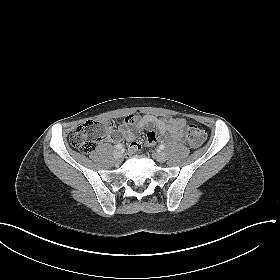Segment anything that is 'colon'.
I'll return each instance as SVG.
<instances>
[{
    "instance_id": "5ec220e1",
    "label": "colon",
    "mask_w": 280,
    "mask_h": 280,
    "mask_svg": "<svg viewBox=\"0 0 280 280\" xmlns=\"http://www.w3.org/2000/svg\"><path fill=\"white\" fill-rule=\"evenodd\" d=\"M130 120L128 118L126 121ZM113 126V121L109 119L87 121L73 131L70 136V143L83 153H91ZM186 135L187 141L192 147L201 146L206 139L205 131L196 125H189Z\"/></svg>"
}]
</instances>
